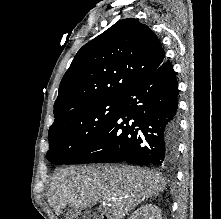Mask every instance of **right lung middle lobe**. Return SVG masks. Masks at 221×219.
<instances>
[{
	"label": "right lung middle lobe",
	"mask_w": 221,
	"mask_h": 219,
	"mask_svg": "<svg viewBox=\"0 0 221 219\" xmlns=\"http://www.w3.org/2000/svg\"><path fill=\"white\" fill-rule=\"evenodd\" d=\"M120 101L121 98L91 101L55 119L48 134V161L62 165L83 152L111 122Z\"/></svg>",
	"instance_id": "obj_1"
}]
</instances>
